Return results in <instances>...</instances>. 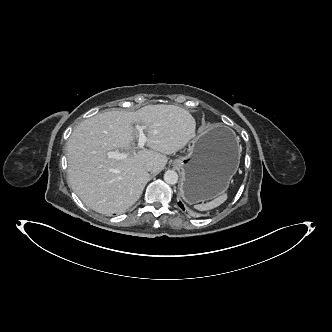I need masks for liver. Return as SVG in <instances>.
I'll list each match as a JSON object with an SVG mask.
<instances>
[{
    "mask_svg": "<svg viewBox=\"0 0 332 332\" xmlns=\"http://www.w3.org/2000/svg\"><path fill=\"white\" fill-rule=\"evenodd\" d=\"M145 126L149 149L134 146V124ZM196 122L176 105H147L135 112L108 111L81 122L67 142L68 178L77 196L93 210L124 212L141 196L153 163L159 173L167 155L195 137ZM125 150V159H109L107 152Z\"/></svg>",
    "mask_w": 332,
    "mask_h": 332,
    "instance_id": "obj_1",
    "label": "liver"
}]
</instances>
